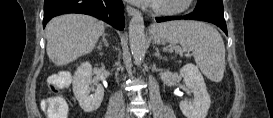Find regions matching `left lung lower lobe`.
Listing matches in <instances>:
<instances>
[{
	"label": "left lung lower lobe",
	"mask_w": 273,
	"mask_h": 118,
	"mask_svg": "<svg viewBox=\"0 0 273 118\" xmlns=\"http://www.w3.org/2000/svg\"><path fill=\"white\" fill-rule=\"evenodd\" d=\"M200 20V21H206L213 23L220 27L225 34L227 35V27L226 22L224 19V16H220L218 14L208 13V12H200V11H193L190 14L184 15V16H171V17H162V18H156V21L158 23L165 22V21H171V20Z\"/></svg>",
	"instance_id": "left-lung-lower-lobe-1"
}]
</instances>
